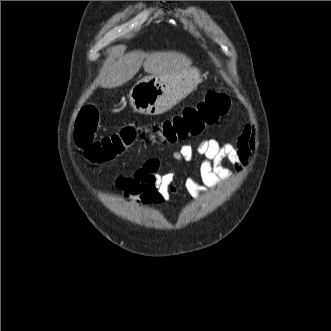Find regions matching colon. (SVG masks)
Instances as JSON below:
<instances>
[{
    "label": "colon",
    "mask_w": 331,
    "mask_h": 331,
    "mask_svg": "<svg viewBox=\"0 0 331 331\" xmlns=\"http://www.w3.org/2000/svg\"><path fill=\"white\" fill-rule=\"evenodd\" d=\"M229 108L230 98L227 94L211 91L197 105L185 108L180 114L158 125H130L116 133L96 138L98 110L93 105H86L77 118L74 139L85 159L92 163H104L125 151L141 133H149L170 144L197 136L225 116Z\"/></svg>",
    "instance_id": "1"
}]
</instances>
